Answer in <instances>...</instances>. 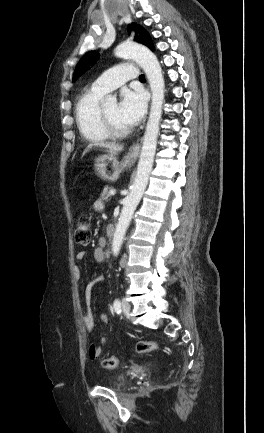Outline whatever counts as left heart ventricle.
Returning <instances> with one entry per match:
<instances>
[{
	"instance_id": "1",
	"label": "left heart ventricle",
	"mask_w": 264,
	"mask_h": 433,
	"mask_svg": "<svg viewBox=\"0 0 264 433\" xmlns=\"http://www.w3.org/2000/svg\"><path fill=\"white\" fill-rule=\"evenodd\" d=\"M108 116L113 123L120 129H127L130 126L127 125L119 116L118 105L116 103L107 104L104 106Z\"/></svg>"
}]
</instances>
